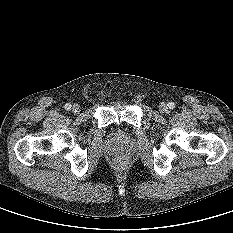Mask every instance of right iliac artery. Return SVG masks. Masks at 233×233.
<instances>
[{
  "mask_svg": "<svg viewBox=\"0 0 233 233\" xmlns=\"http://www.w3.org/2000/svg\"><path fill=\"white\" fill-rule=\"evenodd\" d=\"M65 110L69 111L71 109V105L69 103L65 104Z\"/></svg>",
  "mask_w": 233,
  "mask_h": 233,
  "instance_id": "right-iliac-artery-1",
  "label": "right iliac artery"
}]
</instances>
